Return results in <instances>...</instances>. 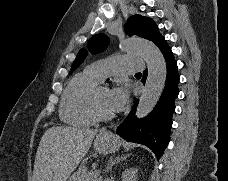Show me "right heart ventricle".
Here are the masks:
<instances>
[{"label":"right heart ventricle","instance_id":"1","mask_svg":"<svg viewBox=\"0 0 228 181\" xmlns=\"http://www.w3.org/2000/svg\"><path fill=\"white\" fill-rule=\"evenodd\" d=\"M99 80L87 71L73 76L62 101L61 116L65 121L76 125H90L96 122L92 101Z\"/></svg>","mask_w":228,"mask_h":181}]
</instances>
